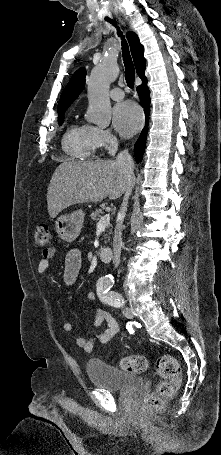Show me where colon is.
Listing matches in <instances>:
<instances>
[{"mask_svg":"<svg viewBox=\"0 0 221 455\" xmlns=\"http://www.w3.org/2000/svg\"><path fill=\"white\" fill-rule=\"evenodd\" d=\"M52 234L48 226L39 225L34 232V245L39 248H50ZM124 370L131 373H141L147 370L148 361L141 355H129L121 360ZM156 370L163 379L155 390L146 397L143 408L149 411H159L174 397L177 387L181 383L180 367L177 359L172 355H161L156 360Z\"/></svg>","mask_w":221,"mask_h":455,"instance_id":"1","label":"colon"}]
</instances>
